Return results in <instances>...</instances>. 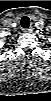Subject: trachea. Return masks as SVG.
I'll return each instance as SVG.
<instances>
[{"label": "trachea", "mask_w": 51, "mask_h": 101, "mask_svg": "<svg viewBox=\"0 0 51 101\" xmlns=\"http://www.w3.org/2000/svg\"><path fill=\"white\" fill-rule=\"evenodd\" d=\"M20 24L23 28H29L30 26V19L27 16H23L21 18Z\"/></svg>", "instance_id": "trachea-1"}]
</instances>
